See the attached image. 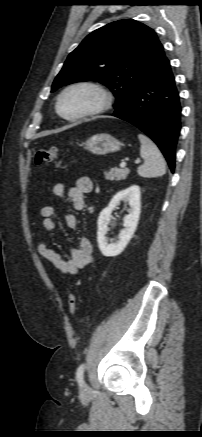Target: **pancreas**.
I'll use <instances>...</instances> for the list:
<instances>
[{
  "instance_id": "cf45deb5",
  "label": "pancreas",
  "mask_w": 202,
  "mask_h": 437,
  "mask_svg": "<svg viewBox=\"0 0 202 437\" xmlns=\"http://www.w3.org/2000/svg\"><path fill=\"white\" fill-rule=\"evenodd\" d=\"M129 174V169L111 168L108 172H104L105 179L110 181H120L126 179Z\"/></svg>"
}]
</instances>
